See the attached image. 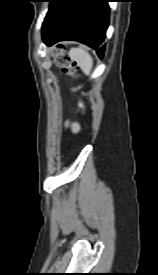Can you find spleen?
<instances>
[{
  "instance_id": "3e777b00",
  "label": "spleen",
  "mask_w": 158,
  "mask_h": 275,
  "mask_svg": "<svg viewBox=\"0 0 158 275\" xmlns=\"http://www.w3.org/2000/svg\"><path fill=\"white\" fill-rule=\"evenodd\" d=\"M69 56L72 60L77 62L78 66L86 75L91 73L93 67V58L87 51L81 48H71L69 51Z\"/></svg>"
}]
</instances>
